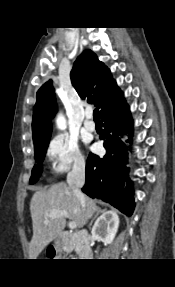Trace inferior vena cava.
<instances>
[{
	"mask_svg": "<svg viewBox=\"0 0 175 287\" xmlns=\"http://www.w3.org/2000/svg\"><path fill=\"white\" fill-rule=\"evenodd\" d=\"M67 183L72 188L73 193L80 201L81 206L85 208V196L80 190V188L85 183V163L83 161L74 164L72 171L67 175Z\"/></svg>",
	"mask_w": 175,
	"mask_h": 287,
	"instance_id": "inferior-vena-cava-1",
	"label": "inferior vena cava"
}]
</instances>
